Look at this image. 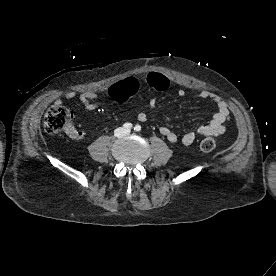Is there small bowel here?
I'll use <instances>...</instances> for the list:
<instances>
[{"instance_id": "c3829d8e", "label": "small bowel", "mask_w": 276, "mask_h": 276, "mask_svg": "<svg viewBox=\"0 0 276 276\" xmlns=\"http://www.w3.org/2000/svg\"><path fill=\"white\" fill-rule=\"evenodd\" d=\"M148 84L155 90L163 91L169 86L168 79L160 74L153 72L148 78ZM140 90V83L136 78H128L121 83L115 84L109 89V95L116 99L121 100L124 98L135 95ZM178 96H184L185 91L183 89L177 90ZM76 97L74 92H68L63 95L62 98L56 100L57 104H61L65 100H71ZM202 99L210 100L216 106V112L208 124L199 126L196 130L179 136L166 125L159 126V132L170 142L176 143L180 139L182 144L191 145L197 136H220L226 130V124L230 119L229 109L227 103L217 94L208 90H202L200 92ZM80 104H82L87 110H95L100 106L99 95L96 91L89 90L82 92L77 97ZM155 106V101L151 99L150 107ZM148 116L145 112H140L137 115V119L141 122H145ZM70 136L75 139H83L86 136V132L82 130H71Z\"/></svg>"}]
</instances>
